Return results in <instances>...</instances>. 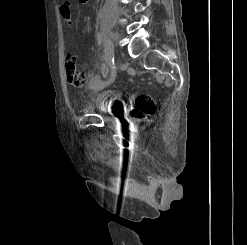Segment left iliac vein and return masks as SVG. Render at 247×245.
I'll return each instance as SVG.
<instances>
[{
    "label": "left iliac vein",
    "mask_w": 247,
    "mask_h": 245,
    "mask_svg": "<svg viewBox=\"0 0 247 245\" xmlns=\"http://www.w3.org/2000/svg\"><path fill=\"white\" fill-rule=\"evenodd\" d=\"M107 45H108V43H107ZM114 54V53H113ZM119 65V64H118ZM116 69H113L112 71H111V76L112 77H114L115 75H116ZM95 88H100V87H103V84H98V85H95L94 86Z\"/></svg>",
    "instance_id": "obj_1"
}]
</instances>
